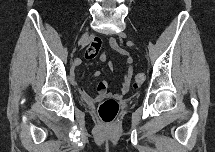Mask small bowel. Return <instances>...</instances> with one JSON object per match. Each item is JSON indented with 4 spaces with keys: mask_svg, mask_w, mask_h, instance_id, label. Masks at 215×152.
<instances>
[{
    "mask_svg": "<svg viewBox=\"0 0 215 152\" xmlns=\"http://www.w3.org/2000/svg\"><path fill=\"white\" fill-rule=\"evenodd\" d=\"M109 44L110 47L113 51L117 52L118 54L122 55L125 58V62L127 64V69H126V73L124 75L122 84H121V91L120 93L117 95L118 97H122L124 96L128 91H129V87H130V81H131V74H132V68L131 65L133 63V58L131 56V54L125 50L124 48H122L118 42L116 41V39L111 38L109 40ZM108 57V55L106 53L102 54V59L106 60ZM80 61H76V65H79ZM93 75L95 77H98L100 75L99 71H95L93 73ZM71 79L73 82H75V76L74 74L71 75ZM107 82L102 80L98 82L97 85V90H98V94L96 96H92L90 95L83 87L79 86L78 87V91L80 93V95L83 97V99L90 103H96L97 101H99L101 98L105 97L107 95Z\"/></svg>",
    "mask_w": 215,
    "mask_h": 152,
    "instance_id": "c3829d8e",
    "label": "small bowel"
}]
</instances>
